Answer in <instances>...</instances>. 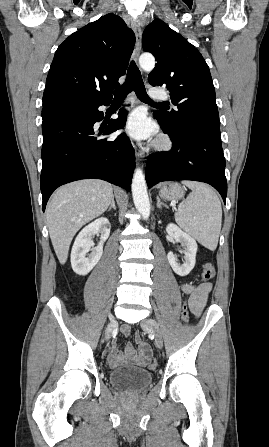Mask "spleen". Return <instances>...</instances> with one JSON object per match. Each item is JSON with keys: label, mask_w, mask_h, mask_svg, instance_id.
<instances>
[{"label": "spleen", "mask_w": 269, "mask_h": 447, "mask_svg": "<svg viewBox=\"0 0 269 447\" xmlns=\"http://www.w3.org/2000/svg\"><path fill=\"white\" fill-rule=\"evenodd\" d=\"M192 190L187 200L179 204L175 222L199 243L214 251L221 231V202L214 190L201 182H182Z\"/></svg>", "instance_id": "obj_1"}]
</instances>
